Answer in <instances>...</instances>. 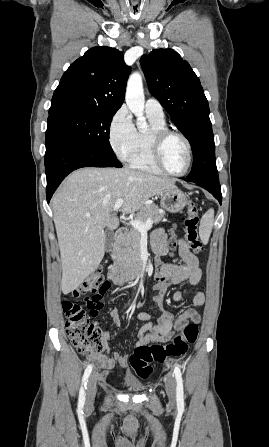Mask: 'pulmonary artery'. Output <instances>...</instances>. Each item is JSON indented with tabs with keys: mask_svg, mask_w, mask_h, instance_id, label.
<instances>
[{
	"mask_svg": "<svg viewBox=\"0 0 269 447\" xmlns=\"http://www.w3.org/2000/svg\"><path fill=\"white\" fill-rule=\"evenodd\" d=\"M145 112L159 119L164 118V111L160 101L154 97H150L145 102Z\"/></svg>",
	"mask_w": 269,
	"mask_h": 447,
	"instance_id": "obj_1",
	"label": "pulmonary artery"
}]
</instances>
